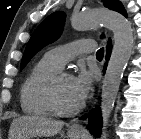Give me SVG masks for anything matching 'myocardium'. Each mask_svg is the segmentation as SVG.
I'll use <instances>...</instances> for the list:
<instances>
[{
  "instance_id": "f54148a6",
  "label": "myocardium",
  "mask_w": 141,
  "mask_h": 139,
  "mask_svg": "<svg viewBox=\"0 0 141 139\" xmlns=\"http://www.w3.org/2000/svg\"><path fill=\"white\" fill-rule=\"evenodd\" d=\"M66 76L71 77V75L66 72L58 71L47 81L44 88L45 103L50 113L55 116H72L78 113L84 105L83 102H80L77 106L70 109H62L59 107L56 99V89L59 80Z\"/></svg>"
}]
</instances>
